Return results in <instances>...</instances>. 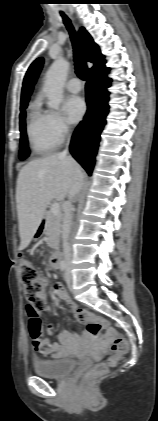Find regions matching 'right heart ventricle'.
Wrapping results in <instances>:
<instances>
[{
    "instance_id": "obj_1",
    "label": "right heart ventricle",
    "mask_w": 158,
    "mask_h": 421,
    "mask_svg": "<svg viewBox=\"0 0 158 421\" xmlns=\"http://www.w3.org/2000/svg\"><path fill=\"white\" fill-rule=\"evenodd\" d=\"M27 137L31 149L37 154L49 153L57 145L49 132L47 113L42 111L37 104L29 113Z\"/></svg>"
}]
</instances>
